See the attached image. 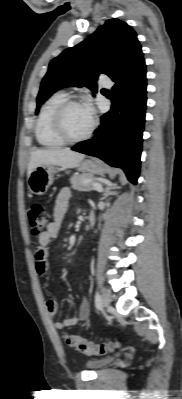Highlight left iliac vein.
<instances>
[{"instance_id": "obj_1", "label": "left iliac vein", "mask_w": 182, "mask_h": 399, "mask_svg": "<svg viewBox=\"0 0 182 399\" xmlns=\"http://www.w3.org/2000/svg\"><path fill=\"white\" fill-rule=\"evenodd\" d=\"M102 301H103V305L106 309L110 308L111 306V296L110 293L107 291L103 292V296H102Z\"/></svg>"}]
</instances>
